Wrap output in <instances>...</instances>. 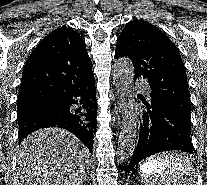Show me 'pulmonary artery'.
I'll return each instance as SVG.
<instances>
[{"mask_svg": "<svg viewBox=\"0 0 207 185\" xmlns=\"http://www.w3.org/2000/svg\"><path fill=\"white\" fill-rule=\"evenodd\" d=\"M142 90H143V92L146 93V94L149 93V88H148V87H143Z\"/></svg>", "mask_w": 207, "mask_h": 185, "instance_id": "1", "label": "pulmonary artery"}]
</instances>
